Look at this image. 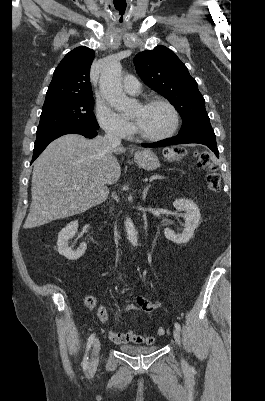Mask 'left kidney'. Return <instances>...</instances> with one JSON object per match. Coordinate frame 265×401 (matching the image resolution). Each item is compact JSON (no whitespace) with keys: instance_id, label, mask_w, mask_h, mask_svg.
I'll return each instance as SVG.
<instances>
[{"instance_id":"obj_1","label":"left kidney","mask_w":265,"mask_h":401,"mask_svg":"<svg viewBox=\"0 0 265 401\" xmlns=\"http://www.w3.org/2000/svg\"><path fill=\"white\" fill-rule=\"evenodd\" d=\"M173 205L178 211H186L184 213L185 229L182 235H176L174 231L164 229V235L168 241H173V243H188L191 237H193L195 229L198 227L201 217L200 211L194 201H191V198H177V201H174Z\"/></svg>"}]
</instances>
